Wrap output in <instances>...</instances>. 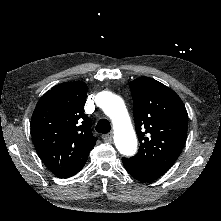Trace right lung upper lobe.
<instances>
[{"mask_svg":"<svg viewBox=\"0 0 221 221\" xmlns=\"http://www.w3.org/2000/svg\"><path fill=\"white\" fill-rule=\"evenodd\" d=\"M87 85L81 81L54 86L38 101L31 118L34 146L44 164L58 177L68 178L85 165L96 138L84 114Z\"/></svg>","mask_w":221,"mask_h":221,"instance_id":"right-lung-upper-lobe-1","label":"right lung upper lobe"}]
</instances>
